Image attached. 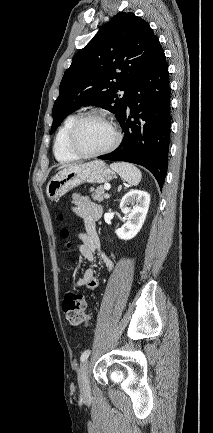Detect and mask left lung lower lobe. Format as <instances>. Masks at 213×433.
<instances>
[{"label":"left lung lower lobe","mask_w":213,"mask_h":433,"mask_svg":"<svg viewBox=\"0 0 213 433\" xmlns=\"http://www.w3.org/2000/svg\"><path fill=\"white\" fill-rule=\"evenodd\" d=\"M170 111L168 65L160 46L130 91L119 120L124 132L120 146L98 158L141 165L155 176L162 188L167 172Z\"/></svg>","instance_id":"obj_1"}]
</instances>
